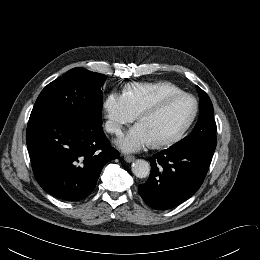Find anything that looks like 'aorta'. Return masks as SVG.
Masks as SVG:
<instances>
[{"label":"aorta","mask_w":260,"mask_h":260,"mask_svg":"<svg viewBox=\"0 0 260 260\" xmlns=\"http://www.w3.org/2000/svg\"><path fill=\"white\" fill-rule=\"evenodd\" d=\"M132 172L138 178H146L150 173V164L143 159H138L132 164Z\"/></svg>","instance_id":"obj_1"}]
</instances>
